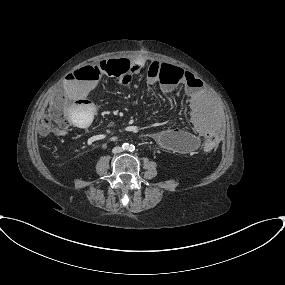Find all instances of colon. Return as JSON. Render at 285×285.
<instances>
[{
    "label": "colon",
    "instance_id": "1",
    "mask_svg": "<svg viewBox=\"0 0 285 285\" xmlns=\"http://www.w3.org/2000/svg\"><path fill=\"white\" fill-rule=\"evenodd\" d=\"M137 68L127 59L101 61L94 66L83 67L75 74L80 81L109 76L129 83L133 80ZM184 71L178 67H166L157 72V78L164 84H179L182 82ZM69 115L78 119L80 127H88L93 119L90 114L88 119L81 118L77 111H69L60 100H53L48 106L46 114L39 121V130L42 135L50 133H63L69 126ZM219 147V139L214 135H207L203 139L202 149L205 152H213Z\"/></svg>",
    "mask_w": 285,
    "mask_h": 285
}]
</instances>
